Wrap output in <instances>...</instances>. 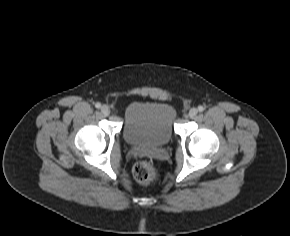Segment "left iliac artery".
<instances>
[{"label":"left iliac artery","mask_w":290,"mask_h":236,"mask_svg":"<svg viewBox=\"0 0 290 236\" xmlns=\"http://www.w3.org/2000/svg\"><path fill=\"white\" fill-rule=\"evenodd\" d=\"M198 110H199V112H203L205 110V107L204 106H199Z\"/></svg>","instance_id":"1"}]
</instances>
